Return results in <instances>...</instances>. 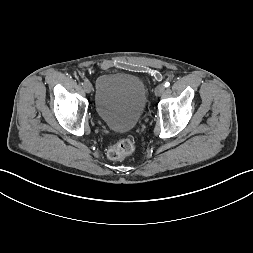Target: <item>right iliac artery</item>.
<instances>
[{"instance_id": "right-iliac-artery-1", "label": "right iliac artery", "mask_w": 253, "mask_h": 253, "mask_svg": "<svg viewBox=\"0 0 253 253\" xmlns=\"http://www.w3.org/2000/svg\"><path fill=\"white\" fill-rule=\"evenodd\" d=\"M85 83H86V81H82L80 84H81L82 86H84Z\"/></svg>"}]
</instances>
